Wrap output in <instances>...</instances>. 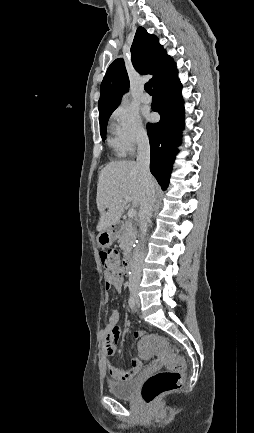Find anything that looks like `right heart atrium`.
<instances>
[{
  "instance_id": "right-heart-atrium-1",
  "label": "right heart atrium",
  "mask_w": 254,
  "mask_h": 433,
  "mask_svg": "<svg viewBox=\"0 0 254 433\" xmlns=\"http://www.w3.org/2000/svg\"><path fill=\"white\" fill-rule=\"evenodd\" d=\"M110 121L111 131L122 154L131 155L147 143V131L135 110L126 106L118 107L112 113Z\"/></svg>"
}]
</instances>
